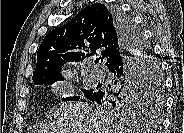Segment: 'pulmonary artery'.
<instances>
[{
	"label": "pulmonary artery",
	"mask_w": 184,
	"mask_h": 133,
	"mask_svg": "<svg viewBox=\"0 0 184 133\" xmlns=\"http://www.w3.org/2000/svg\"><path fill=\"white\" fill-rule=\"evenodd\" d=\"M91 76L96 81H103L105 79L104 72L96 68L91 69Z\"/></svg>",
	"instance_id": "1"
}]
</instances>
